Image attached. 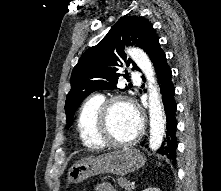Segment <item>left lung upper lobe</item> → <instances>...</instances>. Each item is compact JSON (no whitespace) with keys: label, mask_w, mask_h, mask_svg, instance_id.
Wrapping results in <instances>:
<instances>
[{"label":"left lung upper lobe","mask_w":221,"mask_h":191,"mask_svg":"<svg viewBox=\"0 0 221 191\" xmlns=\"http://www.w3.org/2000/svg\"><path fill=\"white\" fill-rule=\"evenodd\" d=\"M157 36L152 24L138 16L121 18L96 45L83 53L71 75V90L65 102L67 127L71 126L74 113L80 103L97 90L117 89L120 68L136 64L127 58L125 46H137L146 53ZM126 79L127 75H123ZM127 89V87H126Z\"/></svg>","instance_id":"1"}]
</instances>
